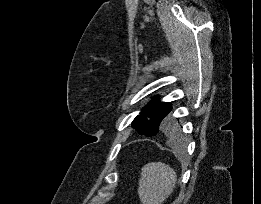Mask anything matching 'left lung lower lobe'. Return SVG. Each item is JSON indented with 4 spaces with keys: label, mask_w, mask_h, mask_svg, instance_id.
Segmentation results:
<instances>
[{
    "label": "left lung lower lobe",
    "mask_w": 261,
    "mask_h": 204,
    "mask_svg": "<svg viewBox=\"0 0 261 204\" xmlns=\"http://www.w3.org/2000/svg\"><path fill=\"white\" fill-rule=\"evenodd\" d=\"M162 131H164L166 134H168L172 138H176L177 137V130H176V128L171 123H169L168 121L164 125Z\"/></svg>",
    "instance_id": "left-lung-lower-lobe-1"
}]
</instances>
